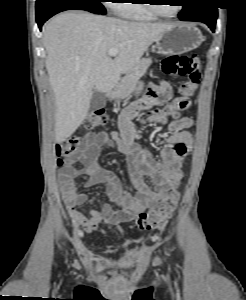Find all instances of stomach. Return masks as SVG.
Instances as JSON below:
<instances>
[{
	"label": "stomach",
	"mask_w": 246,
	"mask_h": 300,
	"mask_svg": "<svg viewBox=\"0 0 246 300\" xmlns=\"http://www.w3.org/2000/svg\"><path fill=\"white\" fill-rule=\"evenodd\" d=\"M203 41L204 37L197 27L188 23H179L166 29L155 41V47L162 55H180L196 49ZM142 87L143 84L139 83L134 89L135 93L138 94ZM109 95L116 101L124 98L118 89L111 91Z\"/></svg>",
	"instance_id": "1"
}]
</instances>
